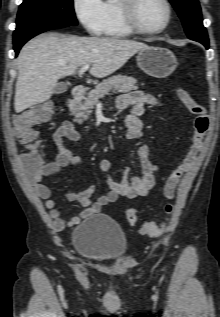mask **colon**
I'll list each match as a JSON object with an SVG mask.
<instances>
[{"label": "colon", "mask_w": 220, "mask_h": 317, "mask_svg": "<svg viewBox=\"0 0 220 317\" xmlns=\"http://www.w3.org/2000/svg\"><path fill=\"white\" fill-rule=\"evenodd\" d=\"M177 92L182 103L194 116V134L187 153L180 163L170 171L163 186V194L168 200L165 211L169 218L158 225L152 221L144 220L136 208H130L126 213L131 225L139 226L141 233L154 237L161 235L170 225V216L173 213L171 201L175 197L176 187L182 176L197 159L210 126V116L206 108L198 103L186 89L179 88ZM52 114V106L49 103H42L15 115L13 118V130L16 138L29 148V151L24 154L25 162L35 170L42 168L44 160L35 149L38 138L34 126L48 121Z\"/></svg>", "instance_id": "obj_1"}]
</instances>
